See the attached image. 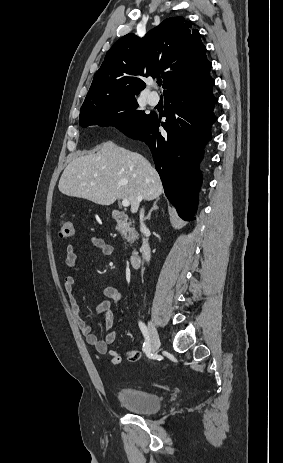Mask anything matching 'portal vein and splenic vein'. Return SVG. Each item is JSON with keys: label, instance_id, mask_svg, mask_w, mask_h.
I'll use <instances>...</instances> for the list:
<instances>
[{"label": "portal vein and splenic vein", "instance_id": "18ae733b", "mask_svg": "<svg viewBox=\"0 0 283 463\" xmlns=\"http://www.w3.org/2000/svg\"><path fill=\"white\" fill-rule=\"evenodd\" d=\"M122 205H123L124 207H128V206L130 205V202H129L127 199H123V200H122Z\"/></svg>", "mask_w": 283, "mask_h": 463}]
</instances>
